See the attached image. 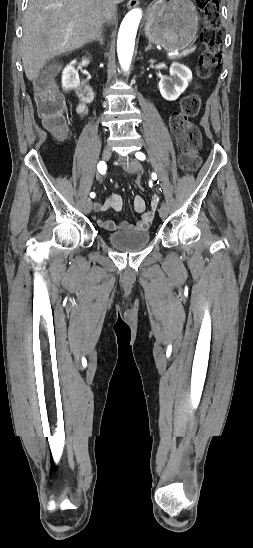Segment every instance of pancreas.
Returning a JSON list of instances; mask_svg holds the SVG:
<instances>
[{
  "label": "pancreas",
  "mask_w": 253,
  "mask_h": 548,
  "mask_svg": "<svg viewBox=\"0 0 253 548\" xmlns=\"http://www.w3.org/2000/svg\"><path fill=\"white\" fill-rule=\"evenodd\" d=\"M191 53V50H184L183 52H181L180 54H178L177 56L175 57H172V58H183V57H186L187 55H189Z\"/></svg>",
  "instance_id": "cf45deb5"
}]
</instances>
